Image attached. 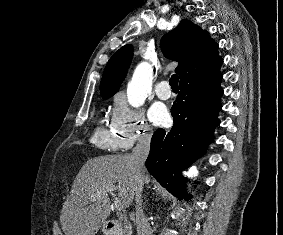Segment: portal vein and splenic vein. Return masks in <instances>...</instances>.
Masks as SVG:
<instances>
[{"label": "portal vein and splenic vein", "mask_w": 283, "mask_h": 235, "mask_svg": "<svg viewBox=\"0 0 283 235\" xmlns=\"http://www.w3.org/2000/svg\"><path fill=\"white\" fill-rule=\"evenodd\" d=\"M116 190L115 186L110 185L106 187V192L112 194L114 191ZM114 207L118 210V211H124V206L121 203V200L119 198H115L114 199Z\"/></svg>", "instance_id": "1"}]
</instances>
